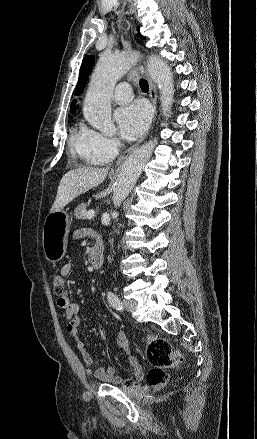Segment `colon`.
Instances as JSON below:
<instances>
[{"mask_svg":"<svg viewBox=\"0 0 257 439\" xmlns=\"http://www.w3.org/2000/svg\"><path fill=\"white\" fill-rule=\"evenodd\" d=\"M54 292L58 296L65 293L64 279L60 274H56L52 279ZM146 354L152 369L147 375V386L152 389L161 388L168 379L167 370L177 369L183 362V355L175 349L166 339L150 336L146 343ZM124 387L135 389L136 382L126 380Z\"/></svg>","mask_w":257,"mask_h":439,"instance_id":"colon-1","label":"colon"}]
</instances>
